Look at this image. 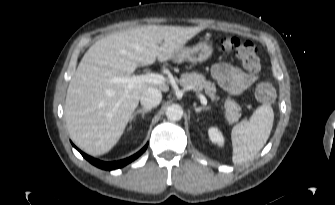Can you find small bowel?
Segmentation results:
<instances>
[{"mask_svg": "<svg viewBox=\"0 0 335 205\" xmlns=\"http://www.w3.org/2000/svg\"><path fill=\"white\" fill-rule=\"evenodd\" d=\"M211 74L224 91L233 95L241 94L258 79L256 73L245 72L237 66L224 62L214 64Z\"/></svg>", "mask_w": 335, "mask_h": 205, "instance_id": "obj_1", "label": "small bowel"}]
</instances>
